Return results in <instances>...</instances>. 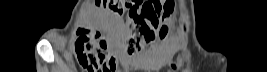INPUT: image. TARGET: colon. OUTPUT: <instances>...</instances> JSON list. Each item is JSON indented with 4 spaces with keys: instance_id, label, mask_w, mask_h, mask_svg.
Wrapping results in <instances>:
<instances>
[{
    "instance_id": "1",
    "label": "colon",
    "mask_w": 267,
    "mask_h": 72,
    "mask_svg": "<svg viewBox=\"0 0 267 72\" xmlns=\"http://www.w3.org/2000/svg\"><path fill=\"white\" fill-rule=\"evenodd\" d=\"M99 6L109 9L119 15H127V27L131 36L123 42L128 54L139 52L146 43L156 38H163L168 33L164 24L165 19L172 11L171 3L162 0H98ZM77 51L81 60L93 72H113L116 65L107 52L108 45L101 39L92 45L87 33L80 29L77 31Z\"/></svg>"
}]
</instances>
